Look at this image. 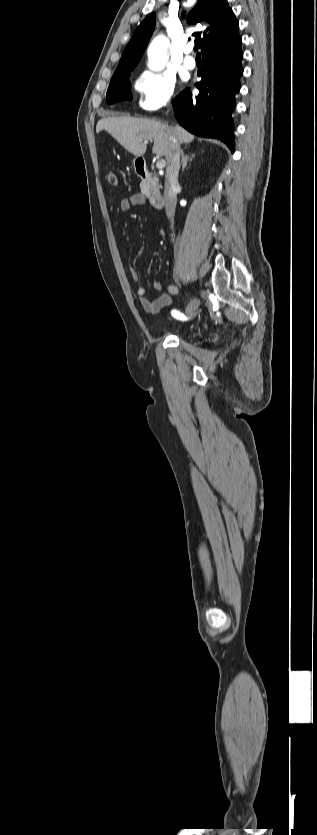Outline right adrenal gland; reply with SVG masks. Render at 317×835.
I'll list each match as a JSON object with an SVG mask.
<instances>
[{
	"label": "right adrenal gland",
	"instance_id": "2a0ac1e0",
	"mask_svg": "<svg viewBox=\"0 0 317 835\" xmlns=\"http://www.w3.org/2000/svg\"><path fill=\"white\" fill-rule=\"evenodd\" d=\"M181 156H182V171H184V170H185V168H186V166H187L188 161H191V160H192V158H193L195 155H194V154H192L191 156L184 155V152H183V151H181Z\"/></svg>",
	"mask_w": 317,
	"mask_h": 835
}]
</instances>
